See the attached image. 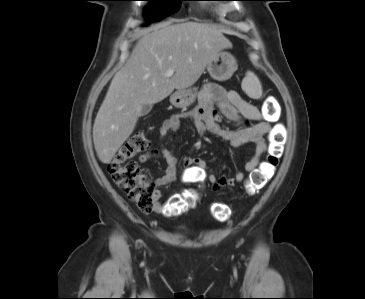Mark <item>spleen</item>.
<instances>
[{
	"label": "spleen",
	"instance_id": "obj_1",
	"mask_svg": "<svg viewBox=\"0 0 365 299\" xmlns=\"http://www.w3.org/2000/svg\"><path fill=\"white\" fill-rule=\"evenodd\" d=\"M242 89L252 99H260L262 96L261 83L252 71L246 73V76L242 81Z\"/></svg>",
	"mask_w": 365,
	"mask_h": 299
}]
</instances>
